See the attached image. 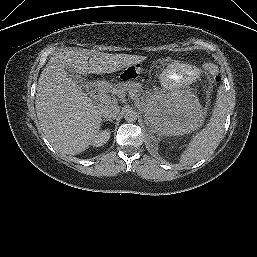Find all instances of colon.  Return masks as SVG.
Masks as SVG:
<instances>
[{
    "label": "colon",
    "instance_id": "obj_1",
    "mask_svg": "<svg viewBox=\"0 0 257 257\" xmlns=\"http://www.w3.org/2000/svg\"><path fill=\"white\" fill-rule=\"evenodd\" d=\"M204 70L207 74L210 75L214 82H219L221 80L218 69L213 63L206 62L204 64ZM144 73L145 69L142 66L134 65L123 70L120 74V77L123 80H132L142 76Z\"/></svg>",
    "mask_w": 257,
    "mask_h": 257
}]
</instances>
